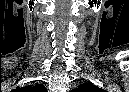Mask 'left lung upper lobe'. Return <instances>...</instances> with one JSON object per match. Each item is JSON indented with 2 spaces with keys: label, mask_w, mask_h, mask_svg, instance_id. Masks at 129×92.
I'll use <instances>...</instances> for the list:
<instances>
[{
  "label": "left lung upper lobe",
  "mask_w": 129,
  "mask_h": 92,
  "mask_svg": "<svg viewBox=\"0 0 129 92\" xmlns=\"http://www.w3.org/2000/svg\"><path fill=\"white\" fill-rule=\"evenodd\" d=\"M76 92H104V90L93 85L92 83H83L76 89Z\"/></svg>",
  "instance_id": "5c2ea615"
}]
</instances>
